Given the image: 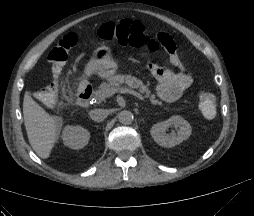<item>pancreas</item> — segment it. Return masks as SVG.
Listing matches in <instances>:
<instances>
[{
  "instance_id": "1",
  "label": "pancreas",
  "mask_w": 254,
  "mask_h": 216,
  "mask_svg": "<svg viewBox=\"0 0 254 216\" xmlns=\"http://www.w3.org/2000/svg\"><path fill=\"white\" fill-rule=\"evenodd\" d=\"M121 84H125L128 87L138 89V91L146 98H149L153 105L162 106V102L159 101L154 94L151 93V90L140 80L136 77L131 75H114L107 78V82H103L99 89L96 91V99L99 102L104 101L107 96V90L118 88Z\"/></svg>"
}]
</instances>
